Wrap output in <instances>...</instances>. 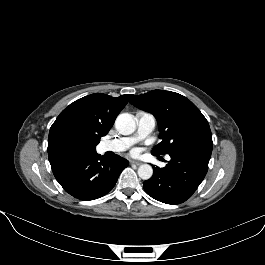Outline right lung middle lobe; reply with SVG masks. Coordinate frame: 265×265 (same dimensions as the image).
Listing matches in <instances>:
<instances>
[{
    "label": "right lung middle lobe",
    "instance_id": "dd1d6c3e",
    "mask_svg": "<svg viewBox=\"0 0 265 265\" xmlns=\"http://www.w3.org/2000/svg\"><path fill=\"white\" fill-rule=\"evenodd\" d=\"M62 143L64 148L79 149V150H96V145L99 143L85 134L78 132H69L63 136Z\"/></svg>",
    "mask_w": 265,
    "mask_h": 265
}]
</instances>
